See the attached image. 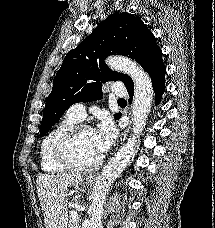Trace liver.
<instances>
[{"instance_id":"1","label":"liver","mask_w":215,"mask_h":228,"mask_svg":"<svg viewBox=\"0 0 215 228\" xmlns=\"http://www.w3.org/2000/svg\"><path fill=\"white\" fill-rule=\"evenodd\" d=\"M82 180V174H40L36 178L45 228H67L68 190Z\"/></svg>"}]
</instances>
